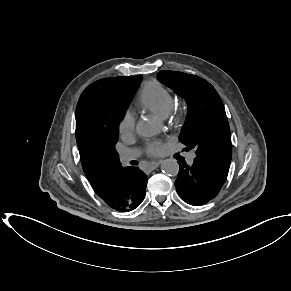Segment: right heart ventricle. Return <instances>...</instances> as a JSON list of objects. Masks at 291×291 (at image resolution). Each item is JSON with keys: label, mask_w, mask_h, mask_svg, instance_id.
<instances>
[{"label": "right heart ventricle", "mask_w": 291, "mask_h": 291, "mask_svg": "<svg viewBox=\"0 0 291 291\" xmlns=\"http://www.w3.org/2000/svg\"><path fill=\"white\" fill-rule=\"evenodd\" d=\"M138 106L154 115L165 118L174 108L171 92L157 80L147 81L138 96Z\"/></svg>", "instance_id": "right-heart-ventricle-1"}]
</instances>
